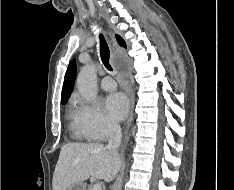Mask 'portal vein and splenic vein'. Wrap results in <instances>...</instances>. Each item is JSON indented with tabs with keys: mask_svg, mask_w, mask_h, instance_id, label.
Wrapping results in <instances>:
<instances>
[{
	"mask_svg": "<svg viewBox=\"0 0 234 190\" xmlns=\"http://www.w3.org/2000/svg\"><path fill=\"white\" fill-rule=\"evenodd\" d=\"M92 190H101V185L100 184L93 185Z\"/></svg>",
	"mask_w": 234,
	"mask_h": 190,
	"instance_id": "obj_1",
	"label": "portal vein and splenic vein"
}]
</instances>
